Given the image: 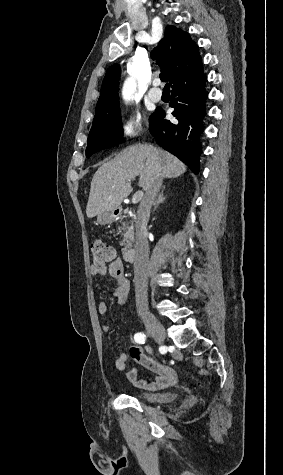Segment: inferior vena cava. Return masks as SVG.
I'll return each mask as SVG.
<instances>
[{
    "instance_id": "inferior-vena-cava-1",
    "label": "inferior vena cava",
    "mask_w": 283,
    "mask_h": 475,
    "mask_svg": "<svg viewBox=\"0 0 283 475\" xmlns=\"http://www.w3.org/2000/svg\"><path fill=\"white\" fill-rule=\"evenodd\" d=\"M162 186L161 176H154L149 182L145 196L137 210L136 241L134 255V285L135 301L138 313L148 311V263L149 245L147 239V224L151 206Z\"/></svg>"
}]
</instances>
